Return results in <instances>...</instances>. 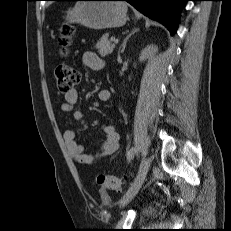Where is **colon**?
I'll use <instances>...</instances> for the list:
<instances>
[{"instance_id": "1", "label": "colon", "mask_w": 231, "mask_h": 231, "mask_svg": "<svg viewBox=\"0 0 231 231\" xmlns=\"http://www.w3.org/2000/svg\"><path fill=\"white\" fill-rule=\"evenodd\" d=\"M72 28L69 25H64L58 37V44L63 53L67 49L71 41ZM55 78L59 91L67 93L72 90L79 82L81 74L78 69L67 64H59L55 69ZM96 182L100 187V192L103 196L111 189H117L122 184V178L115 175L100 174L96 177Z\"/></svg>"}]
</instances>
